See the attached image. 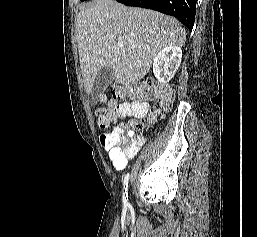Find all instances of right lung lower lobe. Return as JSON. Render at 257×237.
I'll return each mask as SVG.
<instances>
[{
	"mask_svg": "<svg viewBox=\"0 0 257 237\" xmlns=\"http://www.w3.org/2000/svg\"><path fill=\"white\" fill-rule=\"evenodd\" d=\"M127 6L148 8L176 17L190 31L193 28L197 0H116Z\"/></svg>",
	"mask_w": 257,
	"mask_h": 237,
	"instance_id": "right-lung-lower-lobe-1",
	"label": "right lung lower lobe"
}]
</instances>
